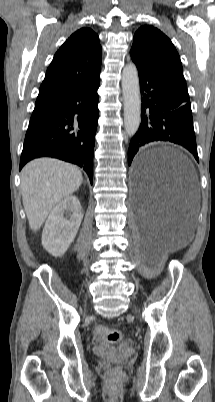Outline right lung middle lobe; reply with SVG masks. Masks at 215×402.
<instances>
[{
  "label": "right lung middle lobe",
  "instance_id": "obj_1",
  "mask_svg": "<svg viewBox=\"0 0 215 402\" xmlns=\"http://www.w3.org/2000/svg\"><path fill=\"white\" fill-rule=\"evenodd\" d=\"M49 106H50V104L36 103L31 118L34 117L35 115H37V114L43 112V111L46 110Z\"/></svg>",
  "mask_w": 215,
  "mask_h": 402
}]
</instances>
